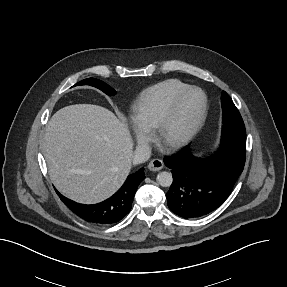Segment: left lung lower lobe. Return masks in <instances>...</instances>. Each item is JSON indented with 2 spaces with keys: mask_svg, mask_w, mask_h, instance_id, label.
Wrapping results in <instances>:
<instances>
[{
  "mask_svg": "<svg viewBox=\"0 0 287 287\" xmlns=\"http://www.w3.org/2000/svg\"><path fill=\"white\" fill-rule=\"evenodd\" d=\"M246 136L243 131L222 133L219 150L209 158H197L189 146L164 158L173 183L166 193L168 207L185 218H198L217 209L230 195L243 171Z\"/></svg>",
  "mask_w": 287,
  "mask_h": 287,
  "instance_id": "left-lung-lower-lobe-1",
  "label": "left lung lower lobe"
}]
</instances>
